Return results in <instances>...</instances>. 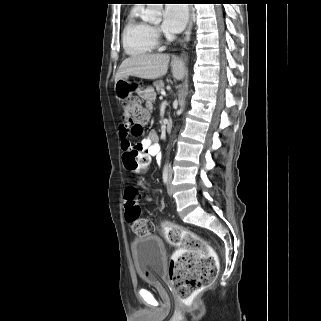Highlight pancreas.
Wrapping results in <instances>:
<instances>
[{
  "instance_id": "pancreas-1",
  "label": "pancreas",
  "mask_w": 321,
  "mask_h": 321,
  "mask_svg": "<svg viewBox=\"0 0 321 321\" xmlns=\"http://www.w3.org/2000/svg\"><path fill=\"white\" fill-rule=\"evenodd\" d=\"M154 87L156 88L157 92H160L164 88V82L161 81V80L160 81H156V82H154Z\"/></svg>"
}]
</instances>
